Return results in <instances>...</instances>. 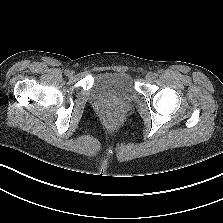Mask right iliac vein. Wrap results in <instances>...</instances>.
<instances>
[{
	"mask_svg": "<svg viewBox=\"0 0 223 223\" xmlns=\"http://www.w3.org/2000/svg\"><path fill=\"white\" fill-rule=\"evenodd\" d=\"M68 75L72 76L73 75V71H69Z\"/></svg>",
	"mask_w": 223,
	"mask_h": 223,
	"instance_id": "obj_1",
	"label": "right iliac vein"
}]
</instances>
